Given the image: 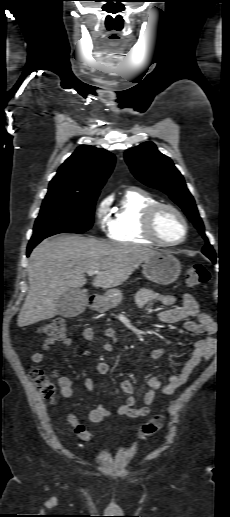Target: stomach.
Returning <instances> with one entry per match:
<instances>
[{
  "label": "stomach",
  "instance_id": "1",
  "mask_svg": "<svg viewBox=\"0 0 230 517\" xmlns=\"http://www.w3.org/2000/svg\"><path fill=\"white\" fill-rule=\"evenodd\" d=\"M142 272L151 282L159 285H168L175 282L181 273L179 260L168 252H157L150 259L143 262ZM122 300V293L118 289L108 290L101 298L99 308L108 310L116 307Z\"/></svg>",
  "mask_w": 230,
  "mask_h": 517
}]
</instances>
